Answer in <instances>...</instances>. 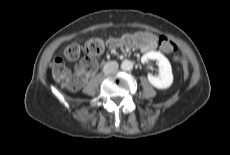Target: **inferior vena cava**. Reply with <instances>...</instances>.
<instances>
[{"label":"inferior vena cava","mask_w":230,"mask_h":155,"mask_svg":"<svg viewBox=\"0 0 230 155\" xmlns=\"http://www.w3.org/2000/svg\"><path fill=\"white\" fill-rule=\"evenodd\" d=\"M118 67L119 65L116 61H111L104 66L103 71L105 74H110L116 72L118 70Z\"/></svg>","instance_id":"1"}]
</instances>
